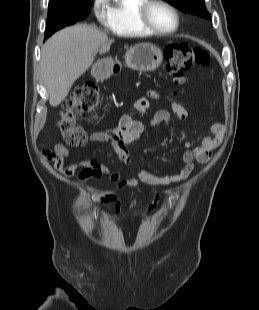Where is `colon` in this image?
Here are the masks:
<instances>
[{"label":"colon","instance_id":"obj_1","mask_svg":"<svg viewBox=\"0 0 259 310\" xmlns=\"http://www.w3.org/2000/svg\"><path fill=\"white\" fill-rule=\"evenodd\" d=\"M165 66L174 83L182 84L184 73L209 62L208 54L199 47L186 43L173 44L164 49ZM100 101L99 87L88 83L76 88L64 103L58 129L68 146L79 147L86 143L85 132L76 124V120L95 111Z\"/></svg>","mask_w":259,"mask_h":310}]
</instances>
